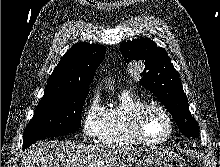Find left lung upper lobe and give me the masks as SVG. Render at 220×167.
<instances>
[{"label": "left lung upper lobe", "mask_w": 220, "mask_h": 167, "mask_svg": "<svg viewBox=\"0 0 220 167\" xmlns=\"http://www.w3.org/2000/svg\"><path fill=\"white\" fill-rule=\"evenodd\" d=\"M121 54L128 63L143 61L145 69L140 74L141 85L162 101L186 137L196 138L199 129L192 117L186 94L167 52L148 38L125 42Z\"/></svg>", "instance_id": "5c2ea615"}]
</instances>
